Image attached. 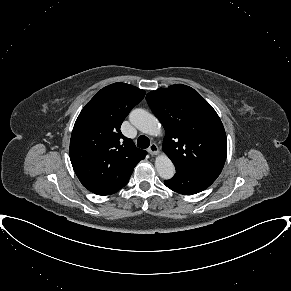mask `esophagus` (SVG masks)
<instances>
[{
	"label": "esophagus",
	"instance_id": "esophagus-1",
	"mask_svg": "<svg viewBox=\"0 0 291 291\" xmlns=\"http://www.w3.org/2000/svg\"><path fill=\"white\" fill-rule=\"evenodd\" d=\"M148 153L150 155H157L159 153V148L155 143H152L148 148Z\"/></svg>",
	"mask_w": 291,
	"mask_h": 291
}]
</instances>
